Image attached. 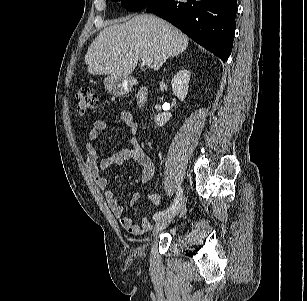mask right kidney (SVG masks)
<instances>
[{"label":"right kidney","mask_w":307,"mask_h":301,"mask_svg":"<svg viewBox=\"0 0 307 301\" xmlns=\"http://www.w3.org/2000/svg\"><path fill=\"white\" fill-rule=\"evenodd\" d=\"M191 73L187 69L180 70L172 79V91L180 101H184L187 96ZM172 117L171 113L157 114L154 118L158 127L164 126Z\"/></svg>","instance_id":"1"}]
</instances>
